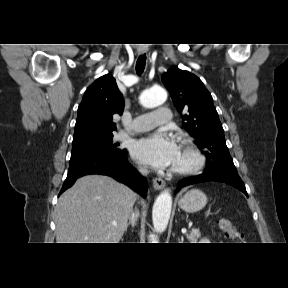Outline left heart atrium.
I'll return each instance as SVG.
<instances>
[{"label": "left heart atrium", "instance_id": "obj_1", "mask_svg": "<svg viewBox=\"0 0 288 288\" xmlns=\"http://www.w3.org/2000/svg\"><path fill=\"white\" fill-rule=\"evenodd\" d=\"M133 158L157 169L174 166L179 148L172 137L159 131L137 139L131 147Z\"/></svg>", "mask_w": 288, "mask_h": 288}]
</instances>
